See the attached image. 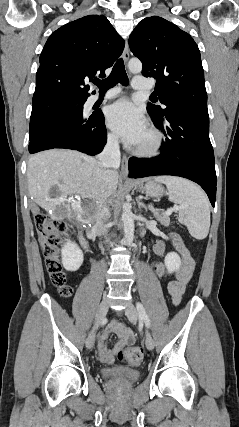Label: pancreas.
<instances>
[{
    "mask_svg": "<svg viewBox=\"0 0 239 427\" xmlns=\"http://www.w3.org/2000/svg\"><path fill=\"white\" fill-rule=\"evenodd\" d=\"M150 210L153 212L156 220L159 221L162 225L168 226L170 224V217L168 215H161L157 210L153 208H150Z\"/></svg>",
    "mask_w": 239,
    "mask_h": 427,
    "instance_id": "1",
    "label": "pancreas"
}]
</instances>
